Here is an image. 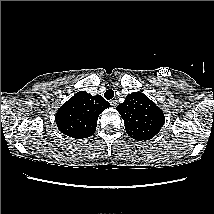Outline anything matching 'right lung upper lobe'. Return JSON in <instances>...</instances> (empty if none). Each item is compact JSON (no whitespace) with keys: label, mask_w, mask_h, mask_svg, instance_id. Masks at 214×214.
I'll return each instance as SVG.
<instances>
[{"label":"right lung upper lobe","mask_w":214,"mask_h":214,"mask_svg":"<svg viewBox=\"0 0 214 214\" xmlns=\"http://www.w3.org/2000/svg\"><path fill=\"white\" fill-rule=\"evenodd\" d=\"M108 107L110 104L102 96L80 91L56 113L58 129L75 139L90 137L96 130L99 115Z\"/></svg>","instance_id":"cb5924a9"}]
</instances>
